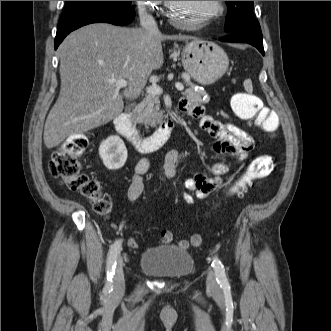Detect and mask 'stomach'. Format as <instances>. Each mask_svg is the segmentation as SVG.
<instances>
[{
	"instance_id": "stomach-1",
	"label": "stomach",
	"mask_w": 331,
	"mask_h": 331,
	"mask_svg": "<svg viewBox=\"0 0 331 331\" xmlns=\"http://www.w3.org/2000/svg\"><path fill=\"white\" fill-rule=\"evenodd\" d=\"M181 59L187 73L202 85L217 81L229 65L228 56L219 45L197 38L186 43Z\"/></svg>"
}]
</instances>
